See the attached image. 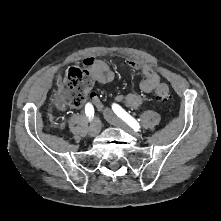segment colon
Returning a JSON list of instances; mask_svg holds the SVG:
<instances>
[{
    "instance_id": "1",
    "label": "colon",
    "mask_w": 221,
    "mask_h": 221,
    "mask_svg": "<svg viewBox=\"0 0 221 221\" xmlns=\"http://www.w3.org/2000/svg\"><path fill=\"white\" fill-rule=\"evenodd\" d=\"M59 99L70 106H81L93 85L90 72L80 67H71L63 77L58 79ZM155 95L161 100L170 98V89L166 83H158L155 87Z\"/></svg>"
}]
</instances>
